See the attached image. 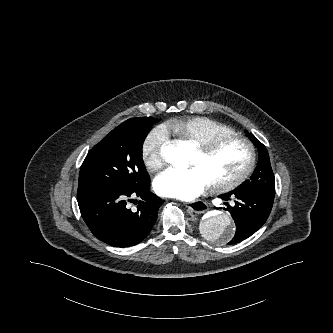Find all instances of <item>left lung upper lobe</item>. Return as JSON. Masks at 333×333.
Wrapping results in <instances>:
<instances>
[{
	"label": "left lung upper lobe",
	"instance_id": "1",
	"mask_svg": "<svg viewBox=\"0 0 333 333\" xmlns=\"http://www.w3.org/2000/svg\"><path fill=\"white\" fill-rule=\"evenodd\" d=\"M259 152L257 167L249 180L244 181L236 190L257 192L269 196L275 195L274 174L265 146L252 134L249 135Z\"/></svg>",
	"mask_w": 333,
	"mask_h": 333
}]
</instances>
